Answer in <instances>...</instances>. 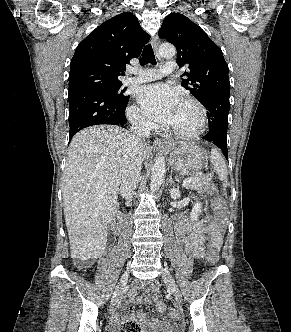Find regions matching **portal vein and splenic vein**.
<instances>
[{
  "mask_svg": "<svg viewBox=\"0 0 291 332\" xmlns=\"http://www.w3.org/2000/svg\"><path fill=\"white\" fill-rule=\"evenodd\" d=\"M191 181H192V178H187V179H185V180L183 181L182 186H183V187H187L188 184L191 183Z\"/></svg>",
  "mask_w": 291,
  "mask_h": 332,
  "instance_id": "18ae733b",
  "label": "portal vein and splenic vein"
}]
</instances>
